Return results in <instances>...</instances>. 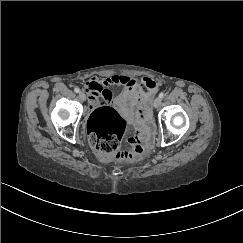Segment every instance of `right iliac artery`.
I'll use <instances>...</instances> for the list:
<instances>
[{
	"instance_id": "obj_1",
	"label": "right iliac artery",
	"mask_w": 243,
	"mask_h": 243,
	"mask_svg": "<svg viewBox=\"0 0 243 243\" xmlns=\"http://www.w3.org/2000/svg\"><path fill=\"white\" fill-rule=\"evenodd\" d=\"M74 91H75L76 93H79V92H80V89H79L78 87H75V88H74Z\"/></svg>"
}]
</instances>
